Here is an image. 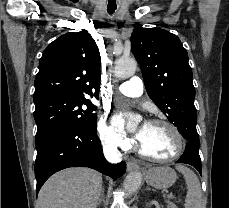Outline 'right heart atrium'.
<instances>
[{
  "mask_svg": "<svg viewBox=\"0 0 229 208\" xmlns=\"http://www.w3.org/2000/svg\"><path fill=\"white\" fill-rule=\"evenodd\" d=\"M98 137L103 146L107 148H119L123 151H130L134 147L131 139L125 138L115 128L108 125L104 117L98 122Z\"/></svg>",
  "mask_w": 229,
  "mask_h": 208,
  "instance_id": "obj_1",
  "label": "right heart atrium"
}]
</instances>
